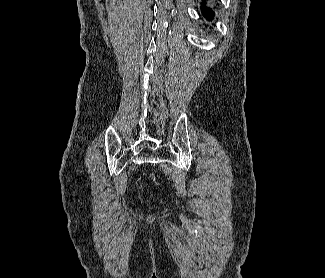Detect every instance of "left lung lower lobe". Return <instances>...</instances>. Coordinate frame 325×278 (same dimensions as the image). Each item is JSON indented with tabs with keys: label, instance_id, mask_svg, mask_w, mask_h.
Instances as JSON below:
<instances>
[{
	"label": "left lung lower lobe",
	"instance_id": "obj_1",
	"mask_svg": "<svg viewBox=\"0 0 325 278\" xmlns=\"http://www.w3.org/2000/svg\"><path fill=\"white\" fill-rule=\"evenodd\" d=\"M202 13H203V15L207 18V19H209V20H211L212 18H213V16H214V13L212 12V10L211 9H209V8H207V7H205L204 6V3L202 4Z\"/></svg>",
	"mask_w": 325,
	"mask_h": 278
}]
</instances>
